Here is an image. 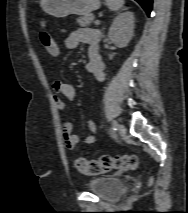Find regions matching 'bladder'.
Segmentation results:
<instances>
[{
    "label": "bladder",
    "instance_id": "1",
    "mask_svg": "<svg viewBox=\"0 0 188 213\" xmlns=\"http://www.w3.org/2000/svg\"><path fill=\"white\" fill-rule=\"evenodd\" d=\"M86 188L105 200H115L124 192L125 183L114 176L95 177L88 180Z\"/></svg>",
    "mask_w": 188,
    "mask_h": 213
}]
</instances>
